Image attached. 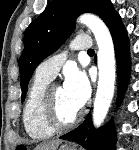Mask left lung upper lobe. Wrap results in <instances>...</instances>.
I'll return each instance as SVG.
<instances>
[{
    "instance_id": "left-lung-upper-lobe-1",
    "label": "left lung upper lobe",
    "mask_w": 139,
    "mask_h": 150,
    "mask_svg": "<svg viewBox=\"0 0 139 150\" xmlns=\"http://www.w3.org/2000/svg\"><path fill=\"white\" fill-rule=\"evenodd\" d=\"M112 8L110 0H53L28 26L24 35V50L18 61L22 102L35 68L70 36L76 17L91 12L105 21Z\"/></svg>"
}]
</instances>
